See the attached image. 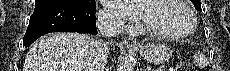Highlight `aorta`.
Instances as JSON below:
<instances>
[{
	"mask_svg": "<svg viewBox=\"0 0 230 71\" xmlns=\"http://www.w3.org/2000/svg\"><path fill=\"white\" fill-rule=\"evenodd\" d=\"M135 66V59L131 55H127L121 61L118 71H133Z\"/></svg>",
	"mask_w": 230,
	"mask_h": 71,
	"instance_id": "aorta-1",
	"label": "aorta"
}]
</instances>
